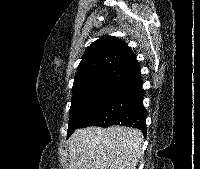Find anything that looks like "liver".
I'll list each match as a JSON object with an SVG mask.
<instances>
[{
  "mask_svg": "<svg viewBox=\"0 0 200 169\" xmlns=\"http://www.w3.org/2000/svg\"><path fill=\"white\" fill-rule=\"evenodd\" d=\"M143 134L124 126L77 129L68 140V169H136Z\"/></svg>",
  "mask_w": 200,
  "mask_h": 169,
  "instance_id": "1",
  "label": "liver"
}]
</instances>
